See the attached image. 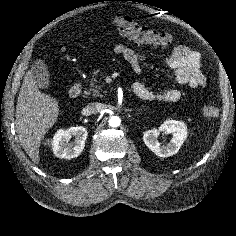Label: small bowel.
I'll return each mask as SVG.
<instances>
[{"instance_id":"obj_1","label":"small bowel","mask_w":236,"mask_h":236,"mask_svg":"<svg viewBox=\"0 0 236 236\" xmlns=\"http://www.w3.org/2000/svg\"><path fill=\"white\" fill-rule=\"evenodd\" d=\"M113 50L128 62L136 75L142 73L144 53L136 52L123 44L115 45ZM163 62L172 70L174 78L179 85L187 86L194 90L206 87L207 80L201 71V54L198 51L185 45H179L169 56L163 59ZM133 92L143 100L161 103H173L181 97V91L178 89L155 92L148 89L141 82H136L133 85Z\"/></svg>"}]
</instances>
